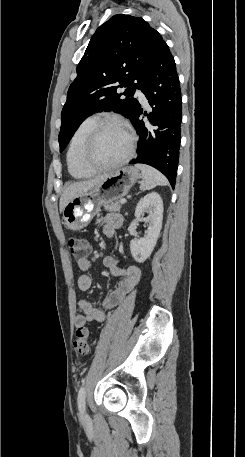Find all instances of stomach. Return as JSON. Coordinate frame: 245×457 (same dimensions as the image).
<instances>
[{
  "mask_svg": "<svg viewBox=\"0 0 245 457\" xmlns=\"http://www.w3.org/2000/svg\"><path fill=\"white\" fill-rule=\"evenodd\" d=\"M141 174L135 166H121L110 172L105 180L86 192L77 194L63 208V224L71 231H81L100 210L101 204L125 196Z\"/></svg>",
  "mask_w": 245,
  "mask_h": 457,
  "instance_id": "obj_1",
  "label": "stomach"
}]
</instances>
